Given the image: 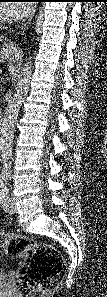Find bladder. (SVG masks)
<instances>
[{"instance_id":"bladder-1","label":"bladder","mask_w":107,"mask_h":297,"mask_svg":"<svg viewBox=\"0 0 107 297\" xmlns=\"http://www.w3.org/2000/svg\"><path fill=\"white\" fill-rule=\"evenodd\" d=\"M4 278V273L2 272V270H0V279Z\"/></svg>"}]
</instances>
